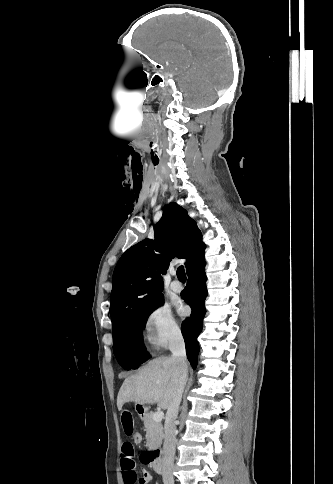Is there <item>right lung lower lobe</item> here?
I'll return each instance as SVG.
<instances>
[{
    "instance_id": "right-lung-lower-lobe-1",
    "label": "right lung lower lobe",
    "mask_w": 333,
    "mask_h": 484,
    "mask_svg": "<svg viewBox=\"0 0 333 484\" xmlns=\"http://www.w3.org/2000/svg\"><path fill=\"white\" fill-rule=\"evenodd\" d=\"M205 264L204 259L187 272L189 279L184 297L186 303L191 307L192 313L191 317L183 321L181 330L185 340L187 358L194 369L197 366L199 352L197 337L202 331L203 317L206 312L204 306L207 296Z\"/></svg>"
}]
</instances>
